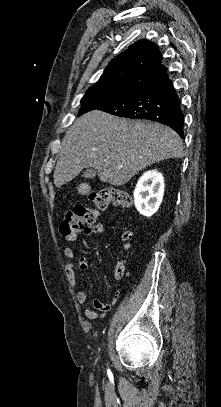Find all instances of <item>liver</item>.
I'll return each mask as SVG.
<instances>
[{
    "mask_svg": "<svg viewBox=\"0 0 221 407\" xmlns=\"http://www.w3.org/2000/svg\"><path fill=\"white\" fill-rule=\"evenodd\" d=\"M183 155V142L171 128L94 110L82 115L66 131L53 174L54 184L60 188L82 169L92 167L100 181L122 186L147 166Z\"/></svg>",
    "mask_w": 221,
    "mask_h": 407,
    "instance_id": "1",
    "label": "liver"
}]
</instances>
